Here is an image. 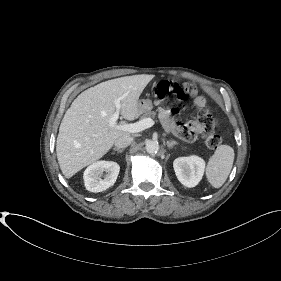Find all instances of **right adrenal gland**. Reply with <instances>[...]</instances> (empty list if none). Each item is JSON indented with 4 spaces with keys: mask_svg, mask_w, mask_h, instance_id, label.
Wrapping results in <instances>:
<instances>
[{
    "mask_svg": "<svg viewBox=\"0 0 281 281\" xmlns=\"http://www.w3.org/2000/svg\"><path fill=\"white\" fill-rule=\"evenodd\" d=\"M113 150L116 151V152H118V153H122V152H123V149H119V148H116V147L113 148Z\"/></svg>",
    "mask_w": 281,
    "mask_h": 281,
    "instance_id": "right-adrenal-gland-1",
    "label": "right adrenal gland"
}]
</instances>
